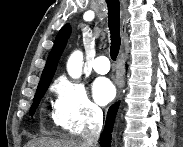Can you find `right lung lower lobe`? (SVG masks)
Listing matches in <instances>:
<instances>
[{
  "instance_id": "98d812e1",
  "label": "right lung lower lobe",
  "mask_w": 183,
  "mask_h": 147,
  "mask_svg": "<svg viewBox=\"0 0 183 147\" xmlns=\"http://www.w3.org/2000/svg\"><path fill=\"white\" fill-rule=\"evenodd\" d=\"M118 106L119 103L111 106L108 110L105 127L100 137V144L102 147H110L111 145V133Z\"/></svg>"
}]
</instances>
